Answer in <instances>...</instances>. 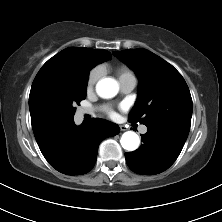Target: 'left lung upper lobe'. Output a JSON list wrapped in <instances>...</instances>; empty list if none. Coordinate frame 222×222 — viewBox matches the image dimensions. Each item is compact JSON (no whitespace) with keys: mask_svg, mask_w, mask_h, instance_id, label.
<instances>
[{"mask_svg":"<svg viewBox=\"0 0 222 222\" xmlns=\"http://www.w3.org/2000/svg\"><path fill=\"white\" fill-rule=\"evenodd\" d=\"M113 54L139 78V91L129 119L147 127L179 123L188 131L192 98L182 75L168 62L146 49H127Z\"/></svg>","mask_w":222,"mask_h":222,"instance_id":"1","label":"left lung upper lobe"}]
</instances>
